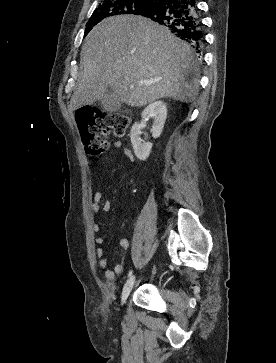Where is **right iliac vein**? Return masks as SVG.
Here are the masks:
<instances>
[{"label":"right iliac vein","mask_w":276,"mask_h":363,"mask_svg":"<svg viewBox=\"0 0 276 363\" xmlns=\"http://www.w3.org/2000/svg\"><path fill=\"white\" fill-rule=\"evenodd\" d=\"M134 283H135V276L130 277L125 283L121 294V303H124L127 300L129 294L133 289Z\"/></svg>","instance_id":"obj_1"}]
</instances>
